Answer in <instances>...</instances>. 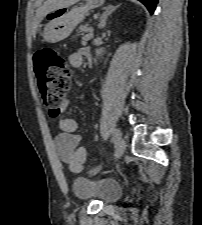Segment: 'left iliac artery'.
I'll use <instances>...</instances> for the list:
<instances>
[{
	"label": "left iliac artery",
	"instance_id": "44dca946",
	"mask_svg": "<svg viewBox=\"0 0 202 225\" xmlns=\"http://www.w3.org/2000/svg\"><path fill=\"white\" fill-rule=\"evenodd\" d=\"M113 135H114L115 139H117L118 136H119L118 130L114 129V130H113ZM101 168H102L101 165L98 166V167H96L94 174H96L97 172H99V171L101 170Z\"/></svg>",
	"mask_w": 202,
	"mask_h": 225
}]
</instances>
